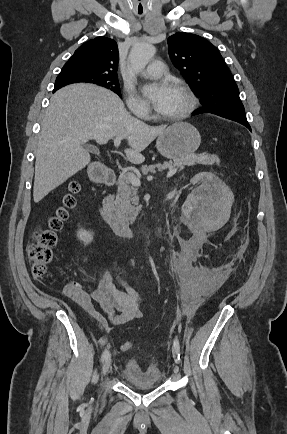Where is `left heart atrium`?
I'll use <instances>...</instances> for the list:
<instances>
[{
    "label": "left heart atrium",
    "instance_id": "left-heart-atrium-1",
    "mask_svg": "<svg viewBox=\"0 0 287 434\" xmlns=\"http://www.w3.org/2000/svg\"><path fill=\"white\" fill-rule=\"evenodd\" d=\"M143 92L154 108L161 112L172 95L173 86L166 83L151 84L145 86Z\"/></svg>",
    "mask_w": 287,
    "mask_h": 434
}]
</instances>
